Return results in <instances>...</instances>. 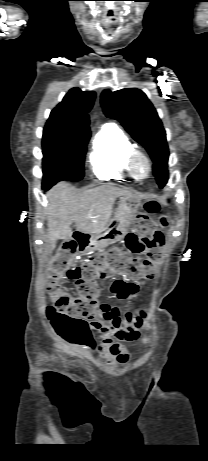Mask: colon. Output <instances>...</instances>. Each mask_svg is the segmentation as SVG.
Masks as SVG:
<instances>
[{
  "label": "colon",
  "mask_w": 208,
  "mask_h": 461,
  "mask_svg": "<svg viewBox=\"0 0 208 461\" xmlns=\"http://www.w3.org/2000/svg\"><path fill=\"white\" fill-rule=\"evenodd\" d=\"M158 211L157 203H146L144 211L136 216L135 231L125 237L124 248L113 247L106 255H97L81 266L70 268V262L85 238L79 236L63 245L48 271V289L54 305L48 308L47 314L60 337L73 345L83 346L90 342L87 319L95 313L99 293L95 280L104 276L108 268L133 281L154 278L163 258L159 251L164 244L161 230L167 224L165 218L154 221L150 217ZM143 251L148 252L146 259L132 257ZM65 275L74 281L76 296L64 292Z\"/></svg>",
  "instance_id": "obj_1"
}]
</instances>
